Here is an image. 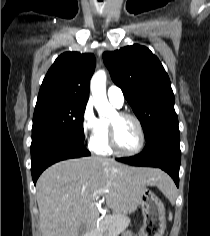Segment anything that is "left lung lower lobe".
<instances>
[{
  "mask_svg": "<svg viewBox=\"0 0 210 236\" xmlns=\"http://www.w3.org/2000/svg\"><path fill=\"white\" fill-rule=\"evenodd\" d=\"M117 160L134 166L161 168L173 178L178 187L181 161L178 126H167L157 130L146 139L145 148L140 154Z\"/></svg>",
  "mask_w": 210,
  "mask_h": 236,
  "instance_id": "obj_1",
  "label": "left lung lower lobe"
}]
</instances>
